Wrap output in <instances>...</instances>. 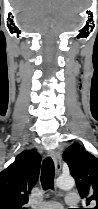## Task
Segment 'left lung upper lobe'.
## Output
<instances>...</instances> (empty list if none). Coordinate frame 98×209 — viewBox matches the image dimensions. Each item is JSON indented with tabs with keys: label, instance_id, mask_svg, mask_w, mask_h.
Segmentation results:
<instances>
[{
	"label": "left lung upper lobe",
	"instance_id": "5c2ea615",
	"mask_svg": "<svg viewBox=\"0 0 98 209\" xmlns=\"http://www.w3.org/2000/svg\"><path fill=\"white\" fill-rule=\"evenodd\" d=\"M63 159L76 181L80 196L86 198V205H95L93 209H98V158L81 145L73 144L64 151Z\"/></svg>",
	"mask_w": 98,
	"mask_h": 209
}]
</instances>
